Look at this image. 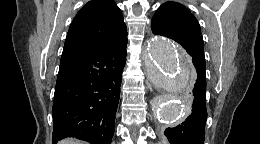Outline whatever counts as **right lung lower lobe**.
<instances>
[{
  "mask_svg": "<svg viewBox=\"0 0 260 144\" xmlns=\"http://www.w3.org/2000/svg\"><path fill=\"white\" fill-rule=\"evenodd\" d=\"M126 45L61 59L52 108L53 142L75 137L90 144L111 143Z\"/></svg>",
  "mask_w": 260,
  "mask_h": 144,
  "instance_id": "obj_1",
  "label": "right lung lower lobe"
}]
</instances>
